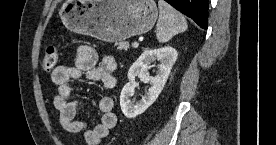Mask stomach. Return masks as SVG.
Segmentation results:
<instances>
[{
  "label": "stomach",
  "mask_w": 276,
  "mask_h": 145,
  "mask_svg": "<svg viewBox=\"0 0 276 145\" xmlns=\"http://www.w3.org/2000/svg\"><path fill=\"white\" fill-rule=\"evenodd\" d=\"M59 15L70 31L117 42L148 32L158 9L154 0H66Z\"/></svg>",
  "instance_id": "0dacf381"
}]
</instances>
